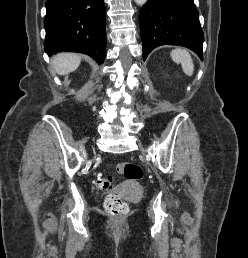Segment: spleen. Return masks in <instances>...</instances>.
<instances>
[{
    "mask_svg": "<svg viewBox=\"0 0 248 258\" xmlns=\"http://www.w3.org/2000/svg\"><path fill=\"white\" fill-rule=\"evenodd\" d=\"M172 60L175 63H180L184 73L188 76L193 75L194 64L191 55L185 49H174L170 53Z\"/></svg>",
    "mask_w": 248,
    "mask_h": 258,
    "instance_id": "3e777b00",
    "label": "spleen"
}]
</instances>
